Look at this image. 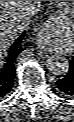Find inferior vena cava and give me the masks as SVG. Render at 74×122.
Masks as SVG:
<instances>
[{"label":"inferior vena cava","instance_id":"602c4592","mask_svg":"<svg viewBox=\"0 0 74 122\" xmlns=\"http://www.w3.org/2000/svg\"><path fill=\"white\" fill-rule=\"evenodd\" d=\"M39 6L37 7H33L30 9L29 12H27L21 19V28L24 29L25 27L27 28L29 26V24L31 23V21L33 20V18L35 17V15L38 13L39 11Z\"/></svg>","mask_w":74,"mask_h":122}]
</instances>
